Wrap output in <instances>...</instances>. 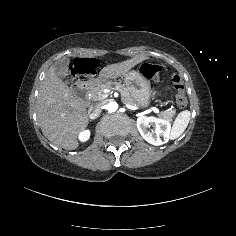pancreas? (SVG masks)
I'll return each mask as SVG.
<instances>
[{
    "instance_id": "1",
    "label": "pancreas",
    "mask_w": 236,
    "mask_h": 236,
    "mask_svg": "<svg viewBox=\"0 0 236 236\" xmlns=\"http://www.w3.org/2000/svg\"><path fill=\"white\" fill-rule=\"evenodd\" d=\"M118 90L121 94V101L124 104H128V105H135L136 103L134 102V100L132 99V97L130 96L129 92L127 91V89L118 82H106L104 84L98 85L93 87L89 93L91 95V99L93 101H102L104 99V96L106 95L104 93V90ZM176 110H165L159 113V117L167 120V121H172V117L175 115Z\"/></svg>"
}]
</instances>
